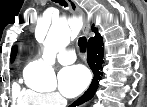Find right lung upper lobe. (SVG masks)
Segmentation results:
<instances>
[{
  "instance_id": "cb5924a9",
  "label": "right lung upper lobe",
  "mask_w": 147,
  "mask_h": 107,
  "mask_svg": "<svg viewBox=\"0 0 147 107\" xmlns=\"http://www.w3.org/2000/svg\"><path fill=\"white\" fill-rule=\"evenodd\" d=\"M92 30H93L94 32H96V35H95V36H100L99 33L97 32V29H96L95 27H92ZM90 39H92V38H90ZM16 51H17V47H14V48L12 49V52H11V62H13L14 59H15Z\"/></svg>"
}]
</instances>
